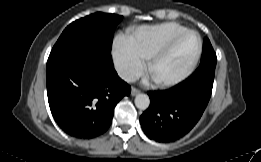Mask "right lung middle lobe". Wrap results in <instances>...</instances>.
I'll return each instance as SVG.
<instances>
[{
    "instance_id": "dd1d6c3e",
    "label": "right lung middle lobe",
    "mask_w": 261,
    "mask_h": 162,
    "mask_svg": "<svg viewBox=\"0 0 261 162\" xmlns=\"http://www.w3.org/2000/svg\"><path fill=\"white\" fill-rule=\"evenodd\" d=\"M122 16L94 13L71 23L63 31L53 49L80 43H93L111 50L114 30Z\"/></svg>"
}]
</instances>
